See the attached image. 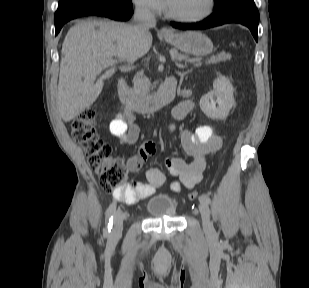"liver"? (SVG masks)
Segmentation results:
<instances>
[{"instance_id": "liver-1", "label": "liver", "mask_w": 309, "mask_h": 288, "mask_svg": "<svg viewBox=\"0 0 309 288\" xmlns=\"http://www.w3.org/2000/svg\"><path fill=\"white\" fill-rule=\"evenodd\" d=\"M151 45L148 30L138 32L123 23L89 20L71 27L62 44L56 96L61 118L69 122L96 101L104 81L116 72V67L104 65L106 60L117 57L133 62L144 56Z\"/></svg>"}]
</instances>
